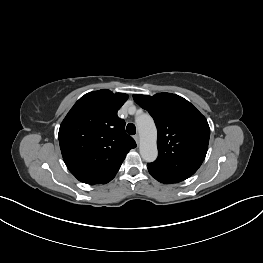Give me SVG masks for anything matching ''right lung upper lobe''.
Instances as JSON below:
<instances>
[{
  "mask_svg": "<svg viewBox=\"0 0 263 263\" xmlns=\"http://www.w3.org/2000/svg\"><path fill=\"white\" fill-rule=\"evenodd\" d=\"M128 99L124 93L102 89L82 96L64 118L59 143L70 172L86 184L113 178L126 154L136 147L117 111Z\"/></svg>",
  "mask_w": 263,
  "mask_h": 263,
  "instance_id": "obj_1",
  "label": "right lung upper lobe"
}]
</instances>
